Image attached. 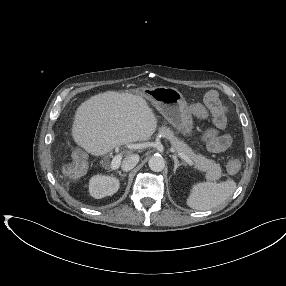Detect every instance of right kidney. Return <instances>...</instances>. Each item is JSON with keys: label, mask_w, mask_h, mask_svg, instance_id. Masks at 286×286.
I'll list each match as a JSON object with an SVG mask.
<instances>
[{"label": "right kidney", "mask_w": 286, "mask_h": 286, "mask_svg": "<svg viewBox=\"0 0 286 286\" xmlns=\"http://www.w3.org/2000/svg\"><path fill=\"white\" fill-rule=\"evenodd\" d=\"M119 180L113 176L97 174L89 181L90 195L96 199L113 195L119 189Z\"/></svg>", "instance_id": "obj_1"}]
</instances>
